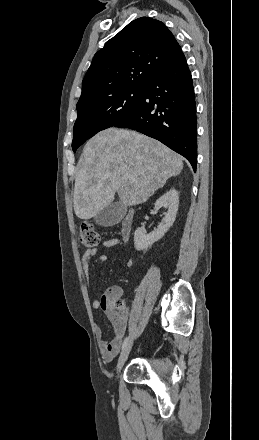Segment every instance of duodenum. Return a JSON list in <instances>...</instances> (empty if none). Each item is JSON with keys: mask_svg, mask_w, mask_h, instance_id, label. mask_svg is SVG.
<instances>
[{"mask_svg": "<svg viewBox=\"0 0 259 440\" xmlns=\"http://www.w3.org/2000/svg\"><path fill=\"white\" fill-rule=\"evenodd\" d=\"M134 224V211L128 210L123 216L121 222V235L124 240H128L133 230Z\"/></svg>", "mask_w": 259, "mask_h": 440, "instance_id": "obj_1", "label": "duodenum"}]
</instances>
